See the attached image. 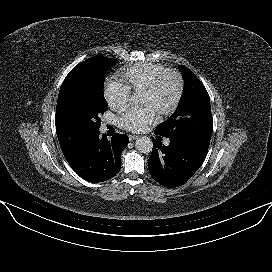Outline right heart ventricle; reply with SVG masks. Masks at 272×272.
I'll return each mask as SVG.
<instances>
[{"label": "right heart ventricle", "instance_id": "1", "mask_svg": "<svg viewBox=\"0 0 272 272\" xmlns=\"http://www.w3.org/2000/svg\"><path fill=\"white\" fill-rule=\"evenodd\" d=\"M164 67L162 63L143 60L127 66L120 75L131 89L140 92Z\"/></svg>", "mask_w": 272, "mask_h": 272}]
</instances>
